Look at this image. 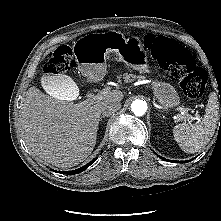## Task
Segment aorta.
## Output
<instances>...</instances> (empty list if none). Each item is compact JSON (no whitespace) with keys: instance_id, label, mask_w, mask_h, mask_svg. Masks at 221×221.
Returning a JSON list of instances; mask_svg holds the SVG:
<instances>
[{"instance_id":"aorta-1","label":"aorta","mask_w":221,"mask_h":221,"mask_svg":"<svg viewBox=\"0 0 221 221\" xmlns=\"http://www.w3.org/2000/svg\"><path fill=\"white\" fill-rule=\"evenodd\" d=\"M131 110L136 116H142L147 111V104L140 99L134 100L131 103Z\"/></svg>"}]
</instances>
